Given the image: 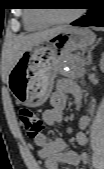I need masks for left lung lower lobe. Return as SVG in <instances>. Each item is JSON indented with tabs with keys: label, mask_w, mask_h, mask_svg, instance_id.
Wrapping results in <instances>:
<instances>
[{
	"label": "left lung lower lobe",
	"mask_w": 104,
	"mask_h": 169,
	"mask_svg": "<svg viewBox=\"0 0 104 169\" xmlns=\"http://www.w3.org/2000/svg\"><path fill=\"white\" fill-rule=\"evenodd\" d=\"M92 6L85 16L71 23V25L104 27V9L102 5L93 3Z\"/></svg>",
	"instance_id": "1"
}]
</instances>
